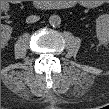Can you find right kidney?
<instances>
[{"mask_svg": "<svg viewBox=\"0 0 109 109\" xmlns=\"http://www.w3.org/2000/svg\"><path fill=\"white\" fill-rule=\"evenodd\" d=\"M12 32V28L10 26H3V30L1 32V44L5 46L10 39Z\"/></svg>", "mask_w": 109, "mask_h": 109, "instance_id": "ca27d5eb", "label": "right kidney"}]
</instances>
